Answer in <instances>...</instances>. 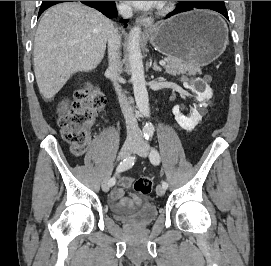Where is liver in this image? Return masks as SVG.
I'll return each mask as SVG.
<instances>
[{"label": "liver", "instance_id": "liver-1", "mask_svg": "<svg viewBox=\"0 0 271 266\" xmlns=\"http://www.w3.org/2000/svg\"><path fill=\"white\" fill-rule=\"evenodd\" d=\"M111 20L80 3L45 12L34 41V72L42 96L53 98L72 74L95 69L114 31Z\"/></svg>", "mask_w": 271, "mask_h": 266}]
</instances>
